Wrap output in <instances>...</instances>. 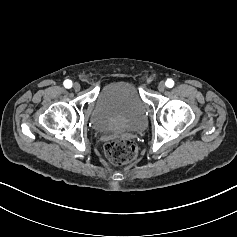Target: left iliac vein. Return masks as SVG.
Returning <instances> with one entry per match:
<instances>
[{"label": "left iliac vein", "instance_id": "left-iliac-vein-1", "mask_svg": "<svg viewBox=\"0 0 237 237\" xmlns=\"http://www.w3.org/2000/svg\"><path fill=\"white\" fill-rule=\"evenodd\" d=\"M166 86H165V83L164 82H160L158 84V90L163 92L165 90Z\"/></svg>", "mask_w": 237, "mask_h": 237}]
</instances>
